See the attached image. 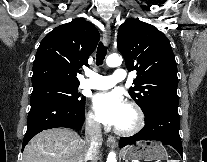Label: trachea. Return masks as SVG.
<instances>
[{
	"mask_svg": "<svg viewBox=\"0 0 207 162\" xmlns=\"http://www.w3.org/2000/svg\"><path fill=\"white\" fill-rule=\"evenodd\" d=\"M107 54V47L102 42L99 43L96 54V64L102 65Z\"/></svg>",
	"mask_w": 207,
	"mask_h": 162,
	"instance_id": "obj_1",
	"label": "trachea"
}]
</instances>
